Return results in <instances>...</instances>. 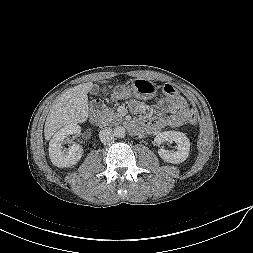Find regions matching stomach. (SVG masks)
I'll list each match as a JSON object with an SVG mask.
<instances>
[{"label": "stomach", "instance_id": "1", "mask_svg": "<svg viewBox=\"0 0 253 253\" xmlns=\"http://www.w3.org/2000/svg\"><path fill=\"white\" fill-rule=\"evenodd\" d=\"M158 88L155 83L148 79L136 78L129 87L125 85L115 86L111 98L112 100H121L134 96L143 100L152 99L156 96Z\"/></svg>", "mask_w": 253, "mask_h": 253}]
</instances>
